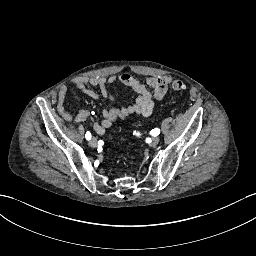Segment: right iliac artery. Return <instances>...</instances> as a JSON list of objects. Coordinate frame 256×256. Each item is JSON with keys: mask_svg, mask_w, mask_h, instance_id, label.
I'll return each mask as SVG.
<instances>
[{"mask_svg": "<svg viewBox=\"0 0 256 256\" xmlns=\"http://www.w3.org/2000/svg\"><path fill=\"white\" fill-rule=\"evenodd\" d=\"M85 137L87 140L91 139V133L90 132H86Z\"/></svg>", "mask_w": 256, "mask_h": 256, "instance_id": "1", "label": "right iliac artery"}]
</instances>
